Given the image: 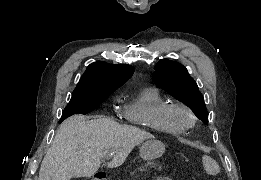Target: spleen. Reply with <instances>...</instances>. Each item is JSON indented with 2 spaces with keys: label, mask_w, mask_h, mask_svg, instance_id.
Masks as SVG:
<instances>
[{
  "label": "spleen",
  "mask_w": 261,
  "mask_h": 180,
  "mask_svg": "<svg viewBox=\"0 0 261 180\" xmlns=\"http://www.w3.org/2000/svg\"><path fill=\"white\" fill-rule=\"evenodd\" d=\"M204 160L208 162L206 164V172L207 174H211V176H216V174H219V166H217L216 162H213V160H210L208 156H204Z\"/></svg>",
  "instance_id": "obj_1"
}]
</instances>
